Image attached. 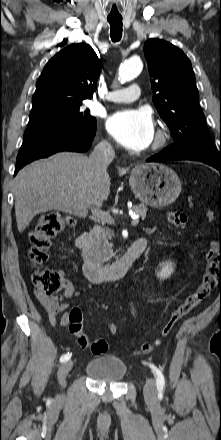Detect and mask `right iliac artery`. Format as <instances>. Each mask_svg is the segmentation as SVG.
Masks as SVG:
<instances>
[{
	"instance_id": "right-iliac-artery-1",
	"label": "right iliac artery",
	"mask_w": 221,
	"mask_h": 440,
	"mask_svg": "<svg viewBox=\"0 0 221 440\" xmlns=\"http://www.w3.org/2000/svg\"><path fill=\"white\" fill-rule=\"evenodd\" d=\"M70 358H71V355L69 353L64 354V355L61 356L60 362L64 363V362L68 361Z\"/></svg>"
}]
</instances>
